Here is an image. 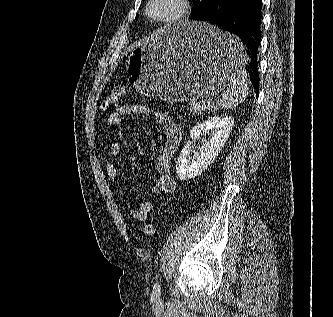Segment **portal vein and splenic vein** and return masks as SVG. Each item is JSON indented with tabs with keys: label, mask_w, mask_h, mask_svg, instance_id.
Returning a JSON list of instances; mask_svg holds the SVG:
<instances>
[{
	"label": "portal vein and splenic vein",
	"mask_w": 333,
	"mask_h": 317,
	"mask_svg": "<svg viewBox=\"0 0 333 317\" xmlns=\"http://www.w3.org/2000/svg\"><path fill=\"white\" fill-rule=\"evenodd\" d=\"M208 103H210V101H209ZM197 104H198V103H195V102H193V101L190 103V105H197Z\"/></svg>",
	"instance_id": "18ae733b"
}]
</instances>
